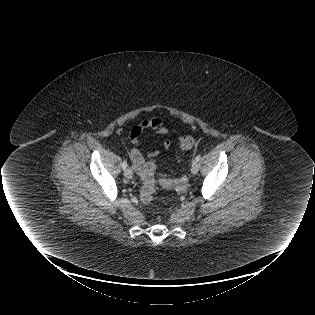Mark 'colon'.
Masks as SVG:
<instances>
[{"label":"colon","mask_w":315,"mask_h":315,"mask_svg":"<svg viewBox=\"0 0 315 315\" xmlns=\"http://www.w3.org/2000/svg\"><path fill=\"white\" fill-rule=\"evenodd\" d=\"M196 140L192 136H186L180 140L182 150H190L194 147ZM157 163L154 158L149 159L140 171L142 185L140 188V199L144 203H150L155 193V171Z\"/></svg>","instance_id":"colon-1"}]
</instances>
